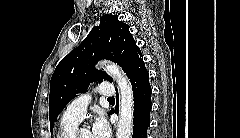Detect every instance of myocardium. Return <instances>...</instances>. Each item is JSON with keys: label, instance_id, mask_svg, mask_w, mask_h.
Listing matches in <instances>:
<instances>
[{"label": "myocardium", "instance_id": "f54148a6", "mask_svg": "<svg viewBox=\"0 0 240 138\" xmlns=\"http://www.w3.org/2000/svg\"><path fill=\"white\" fill-rule=\"evenodd\" d=\"M81 129H77L74 134H73V138H79V133H80Z\"/></svg>", "mask_w": 240, "mask_h": 138}]
</instances>
